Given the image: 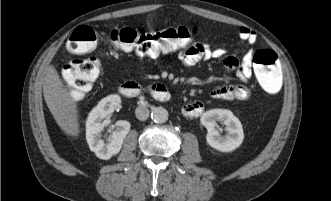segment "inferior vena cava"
I'll list each match as a JSON object with an SVG mask.
<instances>
[{
    "label": "inferior vena cava",
    "instance_id": "1",
    "mask_svg": "<svg viewBox=\"0 0 331 201\" xmlns=\"http://www.w3.org/2000/svg\"><path fill=\"white\" fill-rule=\"evenodd\" d=\"M135 115L138 120L144 121L148 119L150 111L147 107L139 106L135 110Z\"/></svg>",
    "mask_w": 331,
    "mask_h": 201
}]
</instances>
